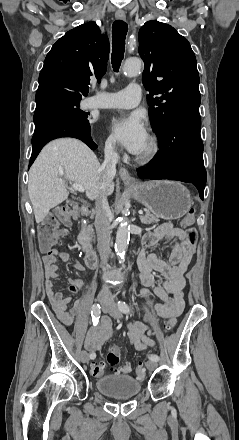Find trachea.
<instances>
[{
    "label": "trachea",
    "mask_w": 239,
    "mask_h": 440,
    "mask_svg": "<svg viewBox=\"0 0 239 440\" xmlns=\"http://www.w3.org/2000/svg\"><path fill=\"white\" fill-rule=\"evenodd\" d=\"M128 25L123 20H115L112 25V56L111 63L115 72H118L125 52V39Z\"/></svg>",
    "instance_id": "obj_1"
}]
</instances>
